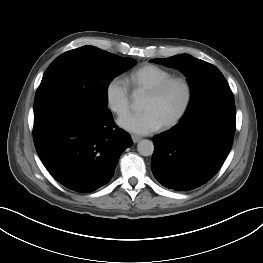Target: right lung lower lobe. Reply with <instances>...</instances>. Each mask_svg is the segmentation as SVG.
Segmentation results:
<instances>
[{
  "label": "right lung lower lobe",
  "instance_id": "right-lung-lower-lobe-1",
  "mask_svg": "<svg viewBox=\"0 0 263 263\" xmlns=\"http://www.w3.org/2000/svg\"><path fill=\"white\" fill-rule=\"evenodd\" d=\"M33 137L45 168L63 186L80 193L97 190L114 175L122 152L133 142L111 112L74 103L34 111Z\"/></svg>",
  "mask_w": 263,
  "mask_h": 263
}]
</instances>
